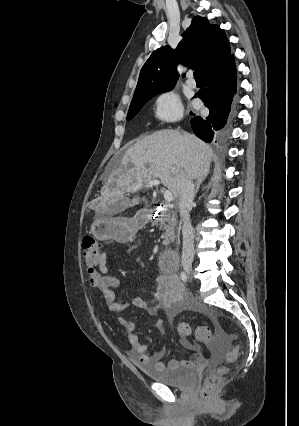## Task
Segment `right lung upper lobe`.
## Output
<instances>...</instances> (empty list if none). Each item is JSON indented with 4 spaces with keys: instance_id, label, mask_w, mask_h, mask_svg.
I'll return each instance as SVG.
<instances>
[{
    "instance_id": "right-lung-upper-lobe-1",
    "label": "right lung upper lobe",
    "mask_w": 299,
    "mask_h": 426,
    "mask_svg": "<svg viewBox=\"0 0 299 426\" xmlns=\"http://www.w3.org/2000/svg\"><path fill=\"white\" fill-rule=\"evenodd\" d=\"M230 57L224 31L209 24L207 18L195 16L175 50L164 46L151 54L140 71L134 97L173 88L178 78V63L198 66L203 76L221 67Z\"/></svg>"
}]
</instances>
